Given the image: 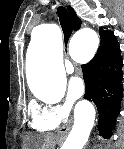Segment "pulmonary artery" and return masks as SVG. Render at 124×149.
<instances>
[{"label":"pulmonary artery","mask_w":124,"mask_h":149,"mask_svg":"<svg viewBox=\"0 0 124 149\" xmlns=\"http://www.w3.org/2000/svg\"><path fill=\"white\" fill-rule=\"evenodd\" d=\"M65 67H66L67 73H72L74 71L73 64L70 61L65 62Z\"/></svg>","instance_id":"e3ab8cb5"}]
</instances>
